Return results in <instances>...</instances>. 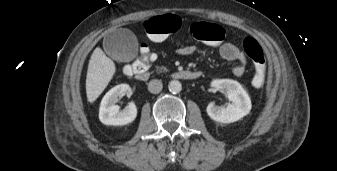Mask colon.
<instances>
[{
  "instance_id": "5ec220e1",
  "label": "colon",
  "mask_w": 337,
  "mask_h": 171,
  "mask_svg": "<svg viewBox=\"0 0 337 171\" xmlns=\"http://www.w3.org/2000/svg\"><path fill=\"white\" fill-rule=\"evenodd\" d=\"M181 26V19L176 15H163L149 18L145 21L144 27L147 36L153 41H162L169 34L175 33ZM190 34L193 38L208 44H218L224 39V30L221 26L206 23L194 22L190 27ZM243 49L250 58L254 76L252 84L261 87L265 81L266 58L260 44L252 37H247L243 41ZM153 46L149 42H144L140 46V54L137 62L131 66L124 67L125 73H133L135 67L147 69L149 65H154L158 61L156 53L152 52Z\"/></svg>"
}]
</instances>
